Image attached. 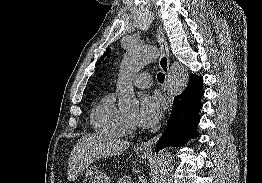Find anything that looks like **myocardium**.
Wrapping results in <instances>:
<instances>
[{"mask_svg": "<svg viewBox=\"0 0 262 183\" xmlns=\"http://www.w3.org/2000/svg\"><path fill=\"white\" fill-rule=\"evenodd\" d=\"M126 118H127V123H128L129 128H131V129H136L134 120L131 119V118L128 117V116H126Z\"/></svg>", "mask_w": 262, "mask_h": 183, "instance_id": "1", "label": "myocardium"}]
</instances>
